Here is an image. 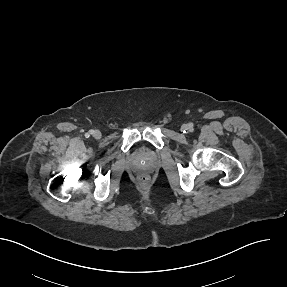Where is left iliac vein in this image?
Returning a JSON list of instances; mask_svg holds the SVG:
<instances>
[{
  "instance_id": "4c4485c4",
  "label": "left iliac vein",
  "mask_w": 287,
  "mask_h": 287,
  "mask_svg": "<svg viewBox=\"0 0 287 287\" xmlns=\"http://www.w3.org/2000/svg\"><path fill=\"white\" fill-rule=\"evenodd\" d=\"M188 129H189V125L184 124V125L182 126V130H188Z\"/></svg>"
}]
</instances>
